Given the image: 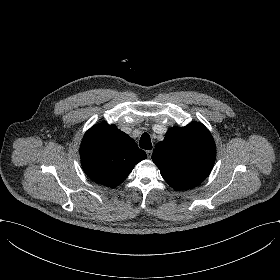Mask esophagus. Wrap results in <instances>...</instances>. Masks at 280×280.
I'll use <instances>...</instances> for the list:
<instances>
[{"label": "esophagus", "instance_id": "obj_1", "mask_svg": "<svg viewBox=\"0 0 280 280\" xmlns=\"http://www.w3.org/2000/svg\"><path fill=\"white\" fill-rule=\"evenodd\" d=\"M147 157L150 159L152 156V150H146Z\"/></svg>", "mask_w": 280, "mask_h": 280}]
</instances>
